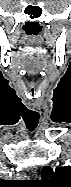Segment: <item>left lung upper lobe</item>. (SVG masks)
<instances>
[{"label": "left lung upper lobe", "instance_id": "1", "mask_svg": "<svg viewBox=\"0 0 71 187\" xmlns=\"http://www.w3.org/2000/svg\"><path fill=\"white\" fill-rule=\"evenodd\" d=\"M42 187H71V166L59 167L53 170L44 167L42 170Z\"/></svg>", "mask_w": 71, "mask_h": 187}]
</instances>
